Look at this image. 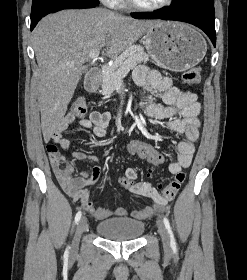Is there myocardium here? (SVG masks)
Here are the masks:
<instances>
[{"mask_svg":"<svg viewBox=\"0 0 247 280\" xmlns=\"http://www.w3.org/2000/svg\"><path fill=\"white\" fill-rule=\"evenodd\" d=\"M128 4L137 10L140 11H145V12H155V11H160L163 10L167 7H169L172 3L173 0H163L162 2L155 4V5H143L137 2L136 0H127Z\"/></svg>","mask_w":247,"mask_h":280,"instance_id":"myocardium-1","label":"myocardium"}]
</instances>
